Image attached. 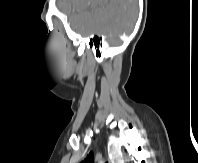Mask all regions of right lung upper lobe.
<instances>
[{
	"label": "right lung upper lobe",
	"mask_w": 198,
	"mask_h": 163,
	"mask_svg": "<svg viewBox=\"0 0 198 163\" xmlns=\"http://www.w3.org/2000/svg\"><path fill=\"white\" fill-rule=\"evenodd\" d=\"M93 160H94L93 153L90 152L81 163H93Z\"/></svg>",
	"instance_id": "cb5924a9"
}]
</instances>
